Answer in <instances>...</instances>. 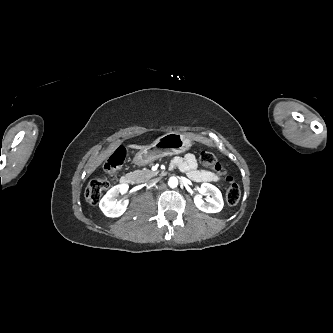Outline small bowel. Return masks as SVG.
<instances>
[{"label": "small bowel", "mask_w": 333, "mask_h": 333, "mask_svg": "<svg viewBox=\"0 0 333 333\" xmlns=\"http://www.w3.org/2000/svg\"><path fill=\"white\" fill-rule=\"evenodd\" d=\"M172 166L186 172L189 178L196 182L208 183L220 180L213 172L198 169L196 158L191 153H187L183 157H175L172 160Z\"/></svg>", "instance_id": "obj_1"}]
</instances>
